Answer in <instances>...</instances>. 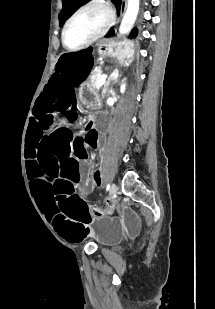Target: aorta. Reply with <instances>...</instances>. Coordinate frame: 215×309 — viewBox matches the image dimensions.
I'll list each match as a JSON object with an SVG mask.
<instances>
[{"label":"aorta","mask_w":215,"mask_h":309,"mask_svg":"<svg viewBox=\"0 0 215 309\" xmlns=\"http://www.w3.org/2000/svg\"><path fill=\"white\" fill-rule=\"evenodd\" d=\"M139 12V0H128L127 10L122 18L119 34H126L131 30Z\"/></svg>","instance_id":"obj_1"}]
</instances>
